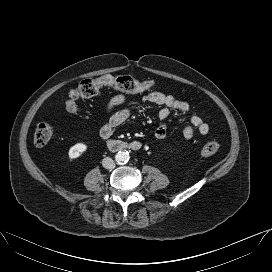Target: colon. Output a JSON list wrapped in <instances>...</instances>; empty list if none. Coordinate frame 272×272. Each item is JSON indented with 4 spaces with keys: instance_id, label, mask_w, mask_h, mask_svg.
I'll list each match as a JSON object with an SVG mask.
<instances>
[{
    "instance_id": "obj_1",
    "label": "colon",
    "mask_w": 272,
    "mask_h": 272,
    "mask_svg": "<svg viewBox=\"0 0 272 272\" xmlns=\"http://www.w3.org/2000/svg\"><path fill=\"white\" fill-rule=\"evenodd\" d=\"M153 82L150 80L137 81L130 76L102 75L97 78H87L82 80L76 88L70 91L66 100V110L75 112L77 110V100L79 98H90L95 96L103 87H110L119 92L132 94L150 89ZM53 131L46 123L37 125L34 132V143L37 146H45L51 140ZM220 144L217 141H210L201 150L202 156H210L217 153Z\"/></svg>"
}]
</instances>
